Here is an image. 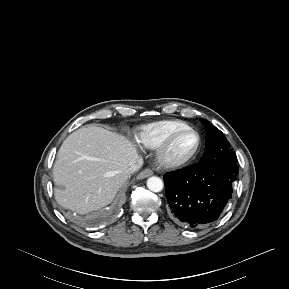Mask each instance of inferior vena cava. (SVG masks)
<instances>
[{
    "label": "inferior vena cava",
    "mask_w": 289,
    "mask_h": 289,
    "mask_svg": "<svg viewBox=\"0 0 289 289\" xmlns=\"http://www.w3.org/2000/svg\"><path fill=\"white\" fill-rule=\"evenodd\" d=\"M141 165H142V161H141V159H139V160H137V162L132 163L130 166H128L124 170V173L129 176V175L135 173L136 171H138L140 169Z\"/></svg>",
    "instance_id": "602c4592"
}]
</instances>
